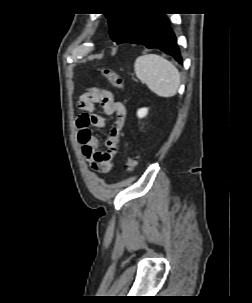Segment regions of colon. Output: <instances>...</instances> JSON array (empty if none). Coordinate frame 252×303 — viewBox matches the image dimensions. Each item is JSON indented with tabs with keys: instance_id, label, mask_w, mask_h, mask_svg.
Wrapping results in <instances>:
<instances>
[{
	"instance_id": "5ec220e1",
	"label": "colon",
	"mask_w": 252,
	"mask_h": 303,
	"mask_svg": "<svg viewBox=\"0 0 252 303\" xmlns=\"http://www.w3.org/2000/svg\"><path fill=\"white\" fill-rule=\"evenodd\" d=\"M101 74L105 77L114 87L124 90V79L113 69L101 68ZM138 165V159L135 155L130 154L126 158L125 167L127 172L132 173L136 170Z\"/></svg>"
}]
</instances>
